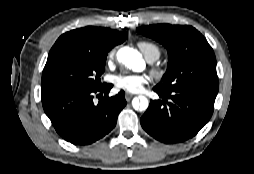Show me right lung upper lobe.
Segmentation results:
<instances>
[{
  "label": "right lung upper lobe",
  "instance_id": "cb5924a9",
  "mask_svg": "<svg viewBox=\"0 0 254 174\" xmlns=\"http://www.w3.org/2000/svg\"><path fill=\"white\" fill-rule=\"evenodd\" d=\"M128 37L127 32L102 27H84L61 35L54 46L73 44L97 55H107L115 45L121 44ZM53 46V47H54Z\"/></svg>",
  "mask_w": 254,
  "mask_h": 174
}]
</instances>
